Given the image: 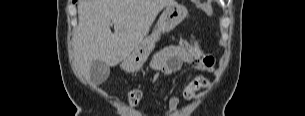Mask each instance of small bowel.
Segmentation results:
<instances>
[{
  "instance_id": "1",
  "label": "small bowel",
  "mask_w": 305,
  "mask_h": 116,
  "mask_svg": "<svg viewBox=\"0 0 305 116\" xmlns=\"http://www.w3.org/2000/svg\"><path fill=\"white\" fill-rule=\"evenodd\" d=\"M184 64H189L199 71H214V58L211 55L205 53L197 45H189L185 41H181L178 45L164 46L153 55L150 61V66L155 72L152 81H157L162 76L173 75ZM209 86L208 78L196 76L183 87L181 97L190 102L199 91L205 90ZM179 105V97L172 95L168 98V107L172 113L179 111Z\"/></svg>"
}]
</instances>
